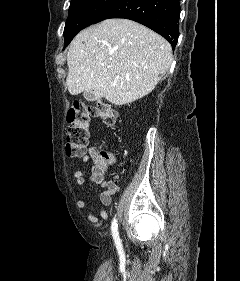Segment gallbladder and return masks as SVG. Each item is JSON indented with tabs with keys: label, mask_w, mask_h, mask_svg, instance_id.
I'll return each mask as SVG.
<instances>
[{
	"label": "gallbladder",
	"mask_w": 240,
	"mask_h": 281,
	"mask_svg": "<svg viewBox=\"0 0 240 281\" xmlns=\"http://www.w3.org/2000/svg\"><path fill=\"white\" fill-rule=\"evenodd\" d=\"M84 97L88 100H91V101L94 100V97L92 96V94L90 92H87V91L84 92Z\"/></svg>",
	"instance_id": "bac80fb5"
}]
</instances>
